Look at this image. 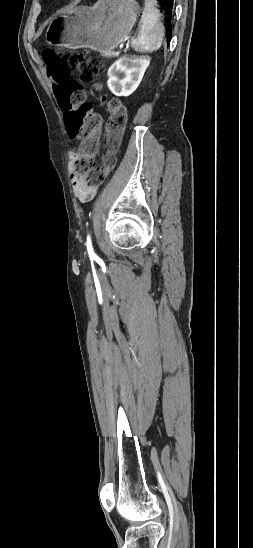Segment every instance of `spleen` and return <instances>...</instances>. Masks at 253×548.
<instances>
[{"label":"spleen","mask_w":253,"mask_h":548,"mask_svg":"<svg viewBox=\"0 0 253 548\" xmlns=\"http://www.w3.org/2000/svg\"><path fill=\"white\" fill-rule=\"evenodd\" d=\"M140 34L132 41V48L138 52L157 51L164 37V25L160 21V11L154 0H145V8L140 20Z\"/></svg>","instance_id":"spleen-1"}]
</instances>
